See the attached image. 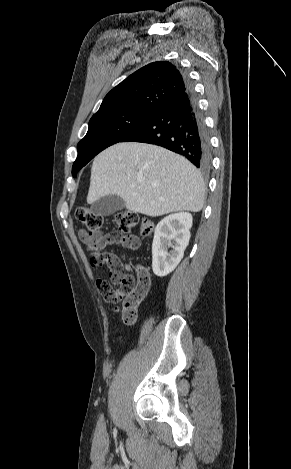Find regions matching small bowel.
<instances>
[{
	"mask_svg": "<svg viewBox=\"0 0 291 469\" xmlns=\"http://www.w3.org/2000/svg\"><path fill=\"white\" fill-rule=\"evenodd\" d=\"M79 237H80L81 241L86 245V249L91 253V255L93 257L102 256L107 261H112V262L119 261L118 258L114 254L108 253V252H102V248L94 246L89 241V239L87 238V235H86L85 231H81L80 234H79ZM131 240H132V243H130L126 246L129 247L132 250H136L139 247V239L136 236H131ZM111 244H117V243H111ZM101 282H104V280L98 279L96 281V284L98 285ZM138 286L144 287L145 291H146V294H147V292L150 288V278H149L148 274H146V278H139Z\"/></svg>",
	"mask_w": 291,
	"mask_h": 469,
	"instance_id": "obj_1",
	"label": "small bowel"
}]
</instances>
